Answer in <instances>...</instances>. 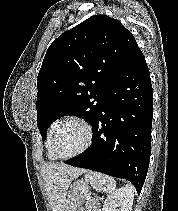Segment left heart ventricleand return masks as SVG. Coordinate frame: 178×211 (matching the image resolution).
I'll return each instance as SVG.
<instances>
[{
    "label": "left heart ventricle",
    "mask_w": 178,
    "mask_h": 211,
    "mask_svg": "<svg viewBox=\"0 0 178 211\" xmlns=\"http://www.w3.org/2000/svg\"><path fill=\"white\" fill-rule=\"evenodd\" d=\"M86 140V131L78 123L65 124L56 137V149L60 155L68 156L79 151Z\"/></svg>",
    "instance_id": "1"
}]
</instances>
